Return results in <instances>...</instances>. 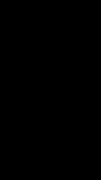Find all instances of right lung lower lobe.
Returning <instances> with one entry per match:
<instances>
[{"label":"right lung lower lobe","mask_w":101,"mask_h":180,"mask_svg":"<svg viewBox=\"0 0 101 180\" xmlns=\"http://www.w3.org/2000/svg\"><path fill=\"white\" fill-rule=\"evenodd\" d=\"M34 131V130H33ZM33 131L30 132L27 137H25L18 145L17 147H15L14 149H9L8 151H6V153H16L17 151L19 150H22L24 148H26L28 146V144L31 143V139H32V136H33Z\"/></svg>","instance_id":"right-lung-lower-lobe-1"}]
</instances>
